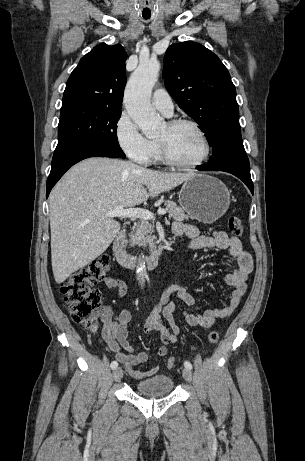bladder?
<instances>
[{"label": "bladder", "mask_w": 305, "mask_h": 461, "mask_svg": "<svg viewBox=\"0 0 305 461\" xmlns=\"http://www.w3.org/2000/svg\"><path fill=\"white\" fill-rule=\"evenodd\" d=\"M173 380L166 374H156L135 384V390L145 396H161L173 390Z\"/></svg>", "instance_id": "bladder-1"}]
</instances>
